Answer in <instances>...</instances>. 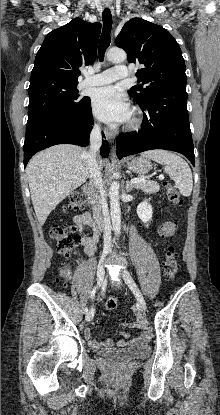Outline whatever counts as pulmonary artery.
Segmentation results:
<instances>
[{
    "label": "pulmonary artery",
    "mask_w": 220,
    "mask_h": 415,
    "mask_svg": "<svg viewBox=\"0 0 220 415\" xmlns=\"http://www.w3.org/2000/svg\"><path fill=\"white\" fill-rule=\"evenodd\" d=\"M128 76V70L125 65H116L94 75H87L83 81L84 86H102L113 83L117 80L124 79Z\"/></svg>",
    "instance_id": "obj_1"
}]
</instances>
